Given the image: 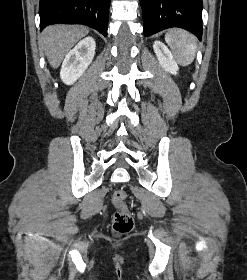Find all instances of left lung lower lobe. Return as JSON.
<instances>
[{
    "mask_svg": "<svg viewBox=\"0 0 247 280\" xmlns=\"http://www.w3.org/2000/svg\"><path fill=\"white\" fill-rule=\"evenodd\" d=\"M144 36L171 27L186 29L202 38V0H140Z\"/></svg>",
    "mask_w": 247,
    "mask_h": 280,
    "instance_id": "left-lung-lower-lobe-1",
    "label": "left lung lower lobe"
}]
</instances>
